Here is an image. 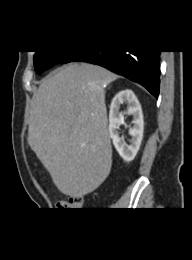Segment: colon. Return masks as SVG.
Masks as SVG:
<instances>
[{
	"mask_svg": "<svg viewBox=\"0 0 192 260\" xmlns=\"http://www.w3.org/2000/svg\"><path fill=\"white\" fill-rule=\"evenodd\" d=\"M82 204L81 196H71L68 200L58 202L57 207L62 210H71L80 208Z\"/></svg>",
	"mask_w": 192,
	"mask_h": 260,
	"instance_id": "1",
	"label": "colon"
}]
</instances>
